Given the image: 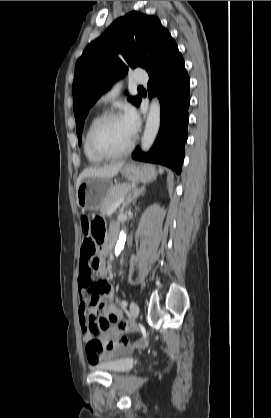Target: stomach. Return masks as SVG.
<instances>
[{
	"instance_id": "obj_1",
	"label": "stomach",
	"mask_w": 271,
	"mask_h": 418,
	"mask_svg": "<svg viewBox=\"0 0 271 418\" xmlns=\"http://www.w3.org/2000/svg\"><path fill=\"white\" fill-rule=\"evenodd\" d=\"M121 173L129 182H149L155 179L157 172L152 165L137 166L127 163ZM112 181L102 177H88L82 180L76 191V202L82 211H96L101 208Z\"/></svg>"
}]
</instances>
